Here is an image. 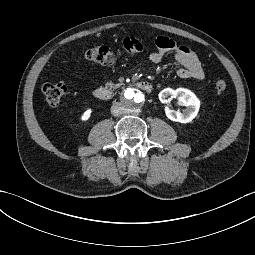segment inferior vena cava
<instances>
[{
	"label": "inferior vena cava",
	"instance_id": "1",
	"mask_svg": "<svg viewBox=\"0 0 255 255\" xmlns=\"http://www.w3.org/2000/svg\"><path fill=\"white\" fill-rule=\"evenodd\" d=\"M111 113L114 116H119L125 113V108L121 106V103L119 102H114L112 107H111Z\"/></svg>",
	"mask_w": 255,
	"mask_h": 255
}]
</instances>
